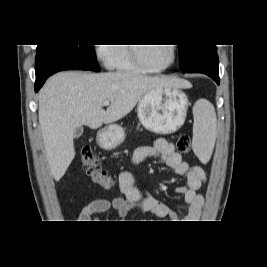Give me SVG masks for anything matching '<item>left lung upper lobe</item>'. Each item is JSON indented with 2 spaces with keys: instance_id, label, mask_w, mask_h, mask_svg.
I'll return each mask as SVG.
<instances>
[{
  "instance_id": "5c2ea615",
  "label": "left lung upper lobe",
  "mask_w": 267,
  "mask_h": 267,
  "mask_svg": "<svg viewBox=\"0 0 267 267\" xmlns=\"http://www.w3.org/2000/svg\"><path fill=\"white\" fill-rule=\"evenodd\" d=\"M180 54V69L184 73L199 58L209 53L217 52L216 45H178Z\"/></svg>"
}]
</instances>
